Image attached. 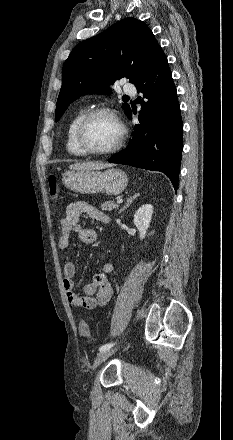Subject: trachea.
<instances>
[{"instance_id": "1", "label": "trachea", "mask_w": 233, "mask_h": 440, "mask_svg": "<svg viewBox=\"0 0 233 440\" xmlns=\"http://www.w3.org/2000/svg\"><path fill=\"white\" fill-rule=\"evenodd\" d=\"M125 98H129V96H124Z\"/></svg>"}]
</instances>
